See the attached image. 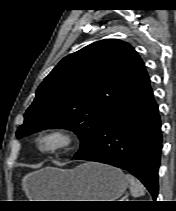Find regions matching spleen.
I'll use <instances>...</instances> for the list:
<instances>
[{"mask_svg":"<svg viewBox=\"0 0 176 211\" xmlns=\"http://www.w3.org/2000/svg\"><path fill=\"white\" fill-rule=\"evenodd\" d=\"M126 179L130 183V191L134 197H140L145 194V189L142 183L130 174H126Z\"/></svg>","mask_w":176,"mask_h":211,"instance_id":"3e777b00","label":"spleen"}]
</instances>
